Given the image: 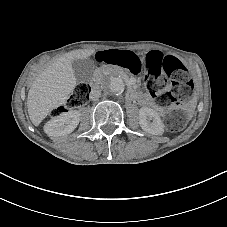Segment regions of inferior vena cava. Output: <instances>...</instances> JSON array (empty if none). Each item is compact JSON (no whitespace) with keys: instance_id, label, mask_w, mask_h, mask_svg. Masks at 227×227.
<instances>
[{"instance_id":"obj_1","label":"inferior vena cava","mask_w":227,"mask_h":227,"mask_svg":"<svg viewBox=\"0 0 227 227\" xmlns=\"http://www.w3.org/2000/svg\"><path fill=\"white\" fill-rule=\"evenodd\" d=\"M100 96H101V92L99 89H92L89 94V98L92 101H98Z\"/></svg>"}]
</instances>
